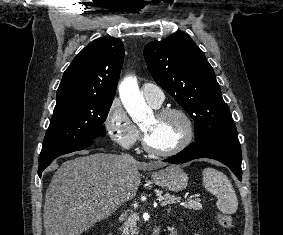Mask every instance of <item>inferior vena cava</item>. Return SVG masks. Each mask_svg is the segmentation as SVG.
I'll return each instance as SVG.
<instances>
[{
    "mask_svg": "<svg viewBox=\"0 0 283 235\" xmlns=\"http://www.w3.org/2000/svg\"><path fill=\"white\" fill-rule=\"evenodd\" d=\"M121 157L125 160H132L133 159V157L129 154H122Z\"/></svg>",
    "mask_w": 283,
    "mask_h": 235,
    "instance_id": "obj_1",
    "label": "inferior vena cava"
}]
</instances>
